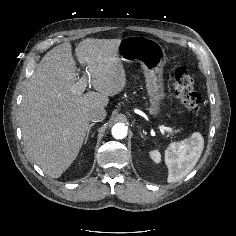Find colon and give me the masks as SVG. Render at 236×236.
<instances>
[{"label": "colon", "mask_w": 236, "mask_h": 236, "mask_svg": "<svg viewBox=\"0 0 236 236\" xmlns=\"http://www.w3.org/2000/svg\"><path fill=\"white\" fill-rule=\"evenodd\" d=\"M175 94L187 111L198 116L200 114L201 95L194 87V81L185 68H178L174 73Z\"/></svg>", "instance_id": "colon-1"}]
</instances>
